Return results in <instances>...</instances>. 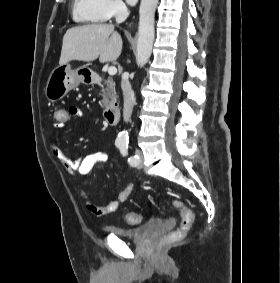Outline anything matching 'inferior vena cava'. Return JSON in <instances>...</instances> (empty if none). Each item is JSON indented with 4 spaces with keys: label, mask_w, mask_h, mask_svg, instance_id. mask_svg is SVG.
I'll list each match as a JSON object with an SVG mask.
<instances>
[{
    "label": "inferior vena cava",
    "mask_w": 280,
    "mask_h": 283,
    "mask_svg": "<svg viewBox=\"0 0 280 283\" xmlns=\"http://www.w3.org/2000/svg\"><path fill=\"white\" fill-rule=\"evenodd\" d=\"M121 89L123 91V97H124L123 117H124V121L128 122L131 118V114L135 104V95L131 88V84L128 78L122 77Z\"/></svg>",
    "instance_id": "602c4592"
}]
</instances>
